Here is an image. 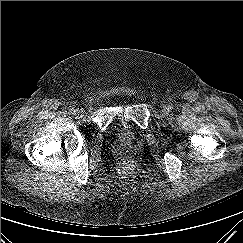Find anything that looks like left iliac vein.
Instances as JSON below:
<instances>
[{"label":"left iliac vein","instance_id":"4c4485c4","mask_svg":"<svg viewBox=\"0 0 243 243\" xmlns=\"http://www.w3.org/2000/svg\"><path fill=\"white\" fill-rule=\"evenodd\" d=\"M162 113L164 114V115H168V113H169V109H168V106H166V105H164L163 107H162Z\"/></svg>","mask_w":243,"mask_h":243}]
</instances>
